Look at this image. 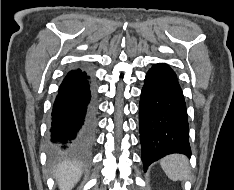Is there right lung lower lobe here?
I'll list each match as a JSON object with an SVG mask.
<instances>
[{"label":"right lung lower lobe","instance_id":"right-lung-lower-lobe-1","mask_svg":"<svg viewBox=\"0 0 234 190\" xmlns=\"http://www.w3.org/2000/svg\"><path fill=\"white\" fill-rule=\"evenodd\" d=\"M96 128V105L89 76L71 70L55 98L50 121V142L55 150H77L89 145Z\"/></svg>","mask_w":234,"mask_h":190}]
</instances>
